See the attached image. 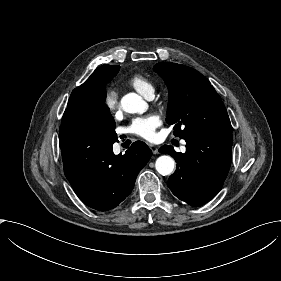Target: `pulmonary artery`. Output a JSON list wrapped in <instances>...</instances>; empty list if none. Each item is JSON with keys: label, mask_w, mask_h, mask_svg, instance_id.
I'll return each instance as SVG.
<instances>
[{"label": "pulmonary artery", "mask_w": 281, "mask_h": 281, "mask_svg": "<svg viewBox=\"0 0 281 281\" xmlns=\"http://www.w3.org/2000/svg\"><path fill=\"white\" fill-rule=\"evenodd\" d=\"M153 97H154V95L150 93V94H148L147 99H148V100H152ZM113 151H114L115 154H118L119 151H120V148H119L118 146H114Z\"/></svg>", "instance_id": "1"}]
</instances>
